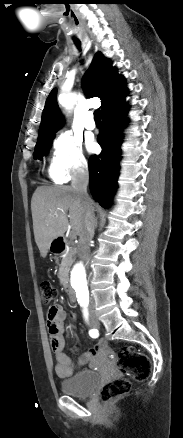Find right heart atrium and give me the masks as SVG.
<instances>
[{
  "instance_id": "right-heart-atrium-1",
  "label": "right heart atrium",
  "mask_w": 183,
  "mask_h": 438,
  "mask_svg": "<svg viewBox=\"0 0 183 438\" xmlns=\"http://www.w3.org/2000/svg\"><path fill=\"white\" fill-rule=\"evenodd\" d=\"M88 167L82 149V142L70 131L60 132L53 140L50 177L57 182L67 181Z\"/></svg>"
}]
</instances>
